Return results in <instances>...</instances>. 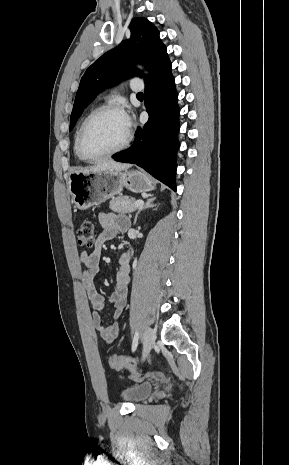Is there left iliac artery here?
Segmentation results:
<instances>
[{
    "label": "left iliac artery",
    "mask_w": 289,
    "mask_h": 465,
    "mask_svg": "<svg viewBox=\"0 0 289 465\" xmlns=\"http://www.w3.org/2000/svg\"><path fill=\"white\" fill-rule=\"evenodd\" d=\"M138 338H139V333L136 332L135 335H134V338H133V342H132V351L134 352L137 348V345H138Z\"/></svg>",
    "instance_id": "obj_1"
}]
</instances>
